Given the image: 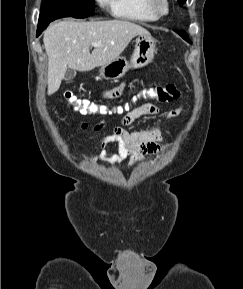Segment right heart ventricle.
<instances>
[{
	"label": "right heart ventricle",
	"instance_id": "1",
	"mask_svg": "<svg viewBox=\"0 0 243 289\" xmlns=\"http://www.w3.org/2000/svg\"><path fill=\"white\" fill-rule=\"evenodd\" d=\"M109 6L116 18L136 22L157 20V17L147 9L145 0H110Z\"/></svg>",
	"mask_w": 243,
	"mask_h": 289
}]
</instances>
